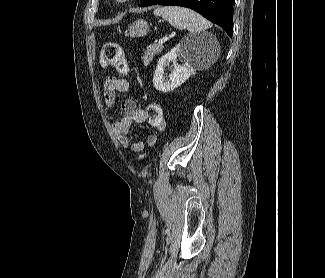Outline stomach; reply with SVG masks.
Returning a JSON list of instances; mask_svg holds the SVG:
<instances>
[{"instance_id": "stomach-1", "label": "stomach", "mask_w": 325, "mask_h": 278, "mask_svg": "<svg viewBox=\"0 0 325 278\" xmlns=\"http://www.w3.org/2000/svg\"><path fill=\"white\" fill-rule=\"evenodd\" d=\"M149 30L148 24L145 20L138 19L129 27V34L132 38L143 37Z\"/></svg>"}]
</instances>
